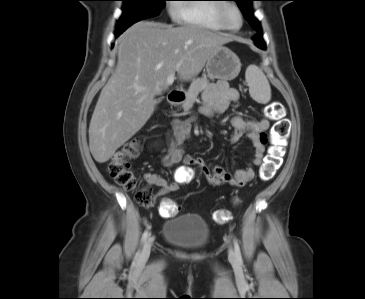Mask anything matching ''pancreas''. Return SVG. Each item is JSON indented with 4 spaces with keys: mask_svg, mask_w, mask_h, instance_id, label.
Listing matches in <instances>:
<instances>
[{
    "mask_svg": "<svg viewBox=\"0 0 365 299\" xmlns=\"http://www.w3.org/2000/svg\"><path fill=\"white\" fill-rule=\"evenodd\" d=\"M208 85H209V80L205 76L197 78L192 81L186 93V99L182 105L185 111H188L193 107V104L196 101L199 93L205 90L208 87Z\"/></svg>",
    "mask_w": 365,
    "mask_h": 299,
    "instance_id": "obj_1",
    "label": "pancreas"
}]
</instances>
